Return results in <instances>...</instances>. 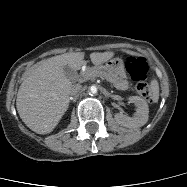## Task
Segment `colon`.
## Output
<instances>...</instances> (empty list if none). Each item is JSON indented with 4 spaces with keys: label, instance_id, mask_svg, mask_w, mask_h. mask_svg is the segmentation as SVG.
Masks as SVG:
<instances>
[{
    "label": "colon",
    "instance_id": "1",
    "mask_svg": "<svg viewBox=\"0 0 187 187\" xmlns=\"http://www.w3.org/2000/svg\"><path fill=\"white\" fill-rule=\"evenodd\" d=\"M126 69L135 83L137 93L144 97L147 101L153 102L154 95L146 81L148 66L145 59L135 56L127 57Z\"/></svg>",
    "mask_w": 187,
    "mask_h": 187
}]
</instances>
